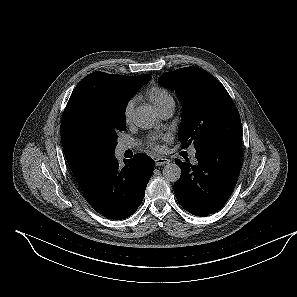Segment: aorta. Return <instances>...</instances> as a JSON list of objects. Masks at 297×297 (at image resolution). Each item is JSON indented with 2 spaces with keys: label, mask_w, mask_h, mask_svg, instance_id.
Instances as JSON below:
<instances>
[{
  "label": "aorta",
  "mask_w": 297,
  "mask_h": 297,
  "mask_svg": "<svg viewBox=\"0 0 297 297\" xmlns=\"http://www.w3.org/2000/svg\"><path fill=\"white\" fill-rule=\"evenodd\" d=\"M133 120L139 128L148 129L155 124L156 113L149 106H139L133 113ZM163 176L166 181L176 182L180 179L181 169L175 163H168L163 169Z\"/></svg>",
  "instance_id": "obj_1"
}]
</instances>
